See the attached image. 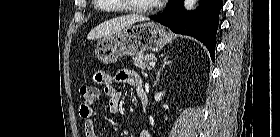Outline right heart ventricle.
Returning <instances> with one entry per match:
<instances>
[{
	"instance_id": "right-heart-ventricle-1",
	"label": "right heart ventricle",
	"mask_w": 280,
	"mask_h": 137,
	"mask_svg": "<svg viewBox=\"0 0 280 137\" xmlns=\"http://www.w3.org/2000/svg\"><path fill=\"white\" fill-rule=\"evenodd\" d=\"M99 5V9H111L112 7L108 6L106 3L110 0H95ZM113 1V0H112Z\"/></svg>"
}]
</instances>
